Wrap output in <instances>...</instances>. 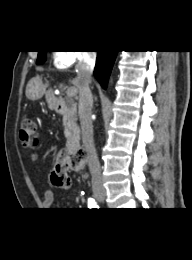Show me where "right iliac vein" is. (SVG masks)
I'll list each match as a JSON object with an SVG mask.
<instances>
[{
    "label": "right iliac vein",
    "mask_w": 192,
    "mask_h": 260,
    "mask_svg": "<svg viewBox=\"0 0 192 260\" xmlns=\"http://www.w3.org/2000/svg\"><path fill=\"white\" fill-rule=\"evenodd\" d=\"M94 197L100 201V202H104L106 199V193L104 191H96L94 192Z\"/></svg>",
    "instance_id": "obj_1"
}]
</instances>
